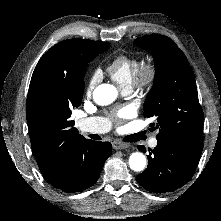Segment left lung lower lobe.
Returning a JSON list of instances; mask_svg holds the SVG:
<instances>
[{
	"label": "left lung lower lobe",
	"mask_w": 221,
	"mask_h": 221,
	"mask_svg": "<svg viewBox=\"0 0 221 221\" xmlns=\"http://www.w3.org/2000/svg\"><path fill=\"white\" fill-rule=\"evenodd\" d=\"M138 149L143 152L145 147L138 146ZM202 149V141L158 140L157 146L148 155L147 168L136 180L151 192L174 191L191 179Z\"/></svg>",
	"instance_id": "0a47b994"
}]
</instances>
